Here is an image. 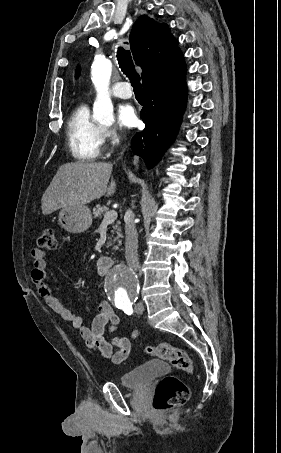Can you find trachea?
Returning a JSON list of instances; mask_svg holds the SVG:
<instances>
[{"mask_svg": "<svg viewBox=\"0 0 281 453\" xmlns=\"http://www.w3.org/2000/svg\"><path fill=\"white\" fill-rule=\"evenodd\" d=\"M117 59L120 68L130 79L136 98H143L144 92L140 82L141 78L140 75L135 71L130 51L124 50V48L121 47L118 48Z\"/></svg>", "mask_w": 281, "mask_h": 453, "instance_id": "trachea-1", "label": "trachea"}]
</instances>
